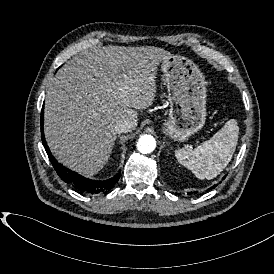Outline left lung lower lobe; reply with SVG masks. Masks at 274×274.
<instances>
[{
	"mask_svg": "<svg viewBox=\"0 0 274 274\" xmlns=\"http://www.w3.org/2000/svg\"><path fill=\"white\" fill-rule=\"evenodd\" d=\"M223 179H225V177H223ZM213 188H215V185H214L213 187H211L210 189H213ZM210 189H209V190H210Z\"/></svg>",
	"mask_w": 274,
	"mask_h": 274,
	"instance_id": "left-lung-lower-lobe-1",
	"label": "left lung lower lobe"
}]
</instances>
